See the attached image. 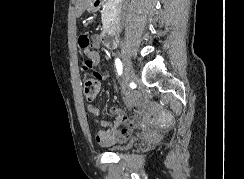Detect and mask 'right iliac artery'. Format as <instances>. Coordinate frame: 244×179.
Returning <instances> with one entry per match:
<instances>
[{"mask_svg":"<svg viewBox=\"0 0 244 179\" xmlns=\"http://www.w3.org/2000/svg\"><path fill=\"white\" fill-rule=\"evenodd\" d=\"M115 65H116V69H117V72H118V75H121L122 74V62L120 61V59H116L115 60Z\"/></svg>","mask_w":244,"mask_h":179,"instance_id":"right-iliac-artery-1","label":"right iliac artery"}]
</instances>
